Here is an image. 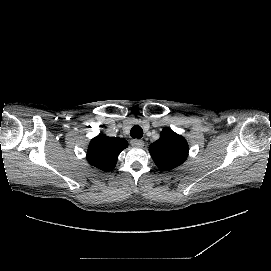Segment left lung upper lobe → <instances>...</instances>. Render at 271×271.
Here are the masks:
<instances>
[{
	"label": "left lung upper lobe",
	"mask_w": 271,
	"mask_h": 271,
	"mask_svg": "<svg viewBox=\"0 0 271 271\" xmlns=\"http://www.w3.org/2000/svg\"><path fill=\"white\" fill-rule=\"evenodd\" d=\"M150 154L161 170H171L182 164L188 156L186 140L169 128H164L160 138L149 147Z\"/></svg>",
	"instance_id": "left-lung-upper-lobe-1"
}]
</instances>
